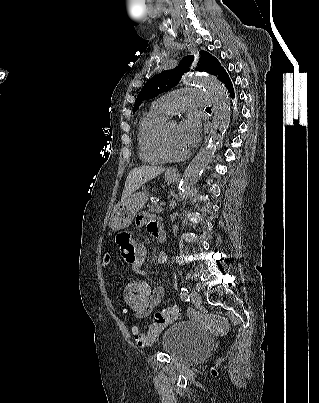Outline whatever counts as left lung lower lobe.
Returning a JSON list of instances; mask_svg holds the SVG:
<instances>
[{
	"mask_svg": "<svg viewBox=\"0 0 319 403\" xmlns=\"http://www.w3.org/2000/svg\"><path fill=\"white\" fill-rule=\"evenodd\" d=\"M218 79L220 81H222L225 85L226 88L228 89V91L230 92V95L233 97L234 96V92H233V87H232V83L227 75V73L225 72V70L222 71V73L218 76Z\"/></svg>",
	"mask_w": 319,
	"mask_h": 403,
	"instance_id": "left-lung-lower-lobe-1",
	"label": "left lung lower lobe"
}]
</instances>
